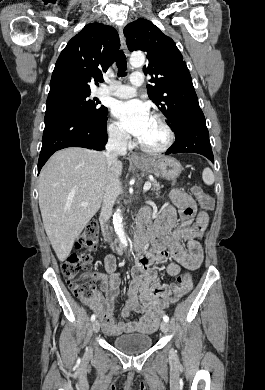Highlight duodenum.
Wrapping results in <instances>:
<instances>
[{
    "label": "duodenum",
    "mask_w": 265,
    "mask_h": 390,
    "mask_svg": "<svg viewBox=\"0 0 265 390\" xmlns=\"http://www.w3.org/2000/svg\"><path fill=\"white\" fill-rule=\"evenodd\" d=\"M137 247L143 248L151 238V230H150V221L143 216L142 214L138 217V225H137ZM105 242L110 243L111 238L108 234L104 236Z\"/></svg>",
    "instance_id": "410a0bca"
}]
</instances>
